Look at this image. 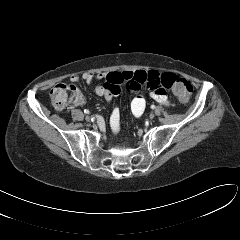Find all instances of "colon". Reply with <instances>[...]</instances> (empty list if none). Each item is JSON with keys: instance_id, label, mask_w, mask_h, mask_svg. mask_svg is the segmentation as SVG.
Wrapping results in <instances>:
<instances>
[{"instance_id": "colon-1", "label": "colon", "mask_w": 240, "mask_h": 240, "mask_svg": "<svg viewBox=\"0 0 240 240\" xmlns=\"http://www.w3.org/2000/svg\"><path fill=\"white\" fill-rule=\"evenodd\" d=\"M161 84L164 88L171 89L174 95L182 102H187L192 94L193 87L185 79L173 73H164L161 76ZM79 93L74 85L58 84L54 86L49 94L52 105L58 109H64Z\"/></svg>"}]
</instances>
